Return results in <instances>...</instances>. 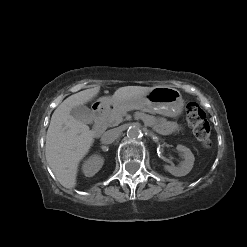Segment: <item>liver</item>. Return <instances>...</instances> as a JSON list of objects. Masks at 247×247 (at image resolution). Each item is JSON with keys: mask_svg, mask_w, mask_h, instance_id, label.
I'll return each mask as SVG.
<instances>
[{"mask_svg": "<svg viewBox=\"0 0 247 247\" xmlns=\"http://www.w3.org/2000/svg\"><path fill=\"white\" fill-rule=\"evenodd\" d=\"M154 88L125 86L118 88L112 97L117 101H131ZM99 91L100 87L96 86L71 95L52 114L46 135L45 155L57 180L65 188L76 186L79 163L89 152L95 136L88 125L71 115V110L92 100Z\"/></svg>", "mask_w": 247, "mask_h": 247, "instance_id": "1", "label": "liver"}]
</instances>
